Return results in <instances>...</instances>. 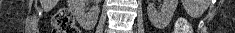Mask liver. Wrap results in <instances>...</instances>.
Masks as SVG:
<instances>
[{
	"label": "liver",
	"instance_id": "obj_1",
	"mask_svg": "<svg viewBox=\"0 0 235 33\" xmlns=\"http://www.w3.org/2000/svg\"><path fill=\"white\" fill-rule=\"evenodd\" d=\"M40 3H41V6L43 7V9L45 11H49L55 6L57 1H54V0H41Z\"/></svg>",
	"mask_w": 235,
	"mask_h": 33
}]
</instances>
